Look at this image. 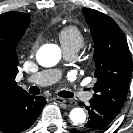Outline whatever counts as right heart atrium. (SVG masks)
Masks as SVG:
<instances>
[{"instance_id": "1", "label": "right heart atrium", "mask_w": 133, "mask_h": 133, "mask_svg": "<svg viewBox=\"0 0 133 133\" xmlns=\"http://www.w3.org/2000/svg\"><path fill=\"white\" fill-rule=\"evenodd\" d=\"M36 48H37V41L33 42V44L31 45L30 53L34 54L36 51Z\"/></svg>"}]
</instances>
